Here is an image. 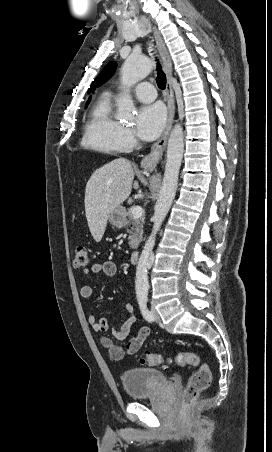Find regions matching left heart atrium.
<instances>
[{
    "label": "left heart atrium",
    "instance_id": "1",
    "mask_svg": "<svg viewBox=\"0 0 272 452\" xmlns=\"http://www.w3.org/2000/svg\"><path fill=\"white\" fill-rule=\"evenodd\" d=\"M166 123V111L164 107L155 103L141 108L137 119V132L144 140L157 138Z\"/></svg>",
    "mask_w": 272,
    "mask_h": 452
}]
</instances>
